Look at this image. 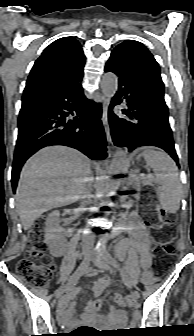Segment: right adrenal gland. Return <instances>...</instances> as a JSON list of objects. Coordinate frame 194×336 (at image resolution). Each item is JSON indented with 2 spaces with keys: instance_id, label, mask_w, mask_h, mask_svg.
<instances>
[{
  "instance_id": "right-adrenal-gland-1",
  "label": "right adrenal gland",
  "mask_w": 194,
  "mask_h": 336,
  "mask_svg": "<svg viewBox=\"0 0 194 336\" xmlns=\"http://www.w3.org/2000/svg\"><path fill=\"white\" fill-rule=\"evenodd\" d=\"M92 183H93V179H89L88 181V185H87V189H86V193L90 192L92 189Z\"/></svg>"
}]
</instances>
